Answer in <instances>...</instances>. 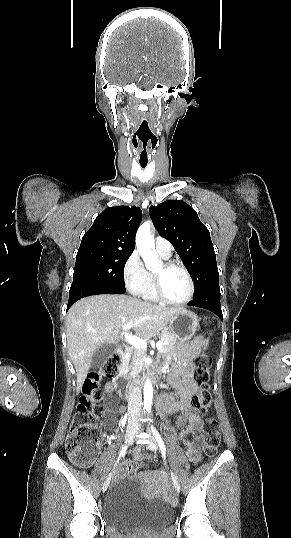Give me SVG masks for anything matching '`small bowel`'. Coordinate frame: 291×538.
<instances>
[{
    "mask_svg": "<svg viewBox=\"0 0 291 538\" xmlns=\"http://www.w3.org/2000/svg\"><path fill=\"white\" fill-rule=\"evenodd\" d=\"M199 342L189 346L175 361L172 367L169 381L177 390L179 399L173 393H164L158 396V409L162 416L180 412L176 425L182 430L179 439L182 441L186 455L193 464L199 462L204 447V423L201 417L190 408V401L197 392V385L192 380V357L196 353ZM117 382L112 381L106 385L108 394L106 400V416L104 425L108 428L115 426V416L124 412V406L120 405L113 397ZM191 435L192 438H188ZM135 459L141 457L140 448L134 449Z\"/></svg>",
    "mask_w": 291,
    "mask_h": 538,
    "instance_id": "small-bowel-1",
    "label": "small bowel"
}]
</instances>
